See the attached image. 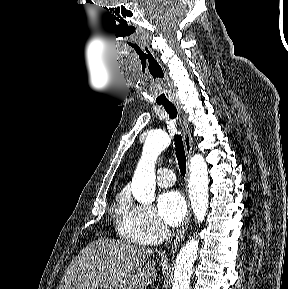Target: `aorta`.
Here are the masks:
<instances>
[{
	"mask_svg": "<svg viewBox=\"0 0 288 289\" xmlns=\"http://www.w3.org/2000/svg\"><path fill=\"white\" fill-rule=\"evenodd\" d=\"M169 144L170 138L165 132H151L145 140L131 185L133 196L142 204H151L155 200V163ZM188 188L196 223L200 225L205 219L209 198L207 164L200 154L191 158ZM198 250L199 240L194 235L177 254L172 289H190L192 268Z\"/></svg>",
	"mask_w": 288,
	"mask_h": 289,
	"instance_id": "762f6f07",
	"label": "aorta"
}]
</instances>
